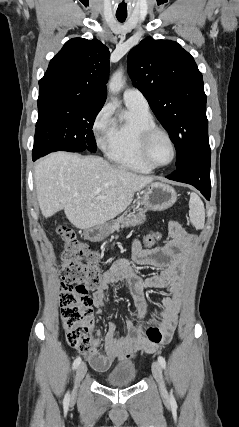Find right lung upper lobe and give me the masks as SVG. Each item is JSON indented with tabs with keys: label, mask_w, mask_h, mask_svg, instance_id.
<instances>
[{
	"label": "right lung upper lobe",
	"mask_w": 239,
	"mask_h": 427,
	"mask_svg": "<svg viewBox=\"0 0 239 427\" xmlns=\"http://www.w3.org/2000/svg\"><path fill=\"white\" fill-rule=\"evenodd\" d=\"M109 49L99 40L73 38L50 61L39 81L38 100H66L103 106Z\"/></svg>",
	"instance_id": "cb5924a9"
}]
</instances>
